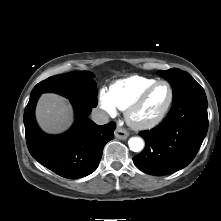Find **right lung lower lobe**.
<instances>
[{
	"label": "right lung lower lobe",
	"instance_id": "obj_1",
	"mask_svg": "<svg viewBox=\"0 0 221 221\" xmlns=\"http://www.w3.org/2000/svg\"><path fill=\"white\" fill-rule=\"evenodd\" d=\"M40 95L30 97L24 112L28 149L40 164L68 179L85 177L96 170L105 144L114 137L116 125H97L88 118L93 106L71 101L76 121L63 135L40 130L35 121V106Z\"/></svg>",
	"mask_w": 221,
	"mask_h": 221
}]
</instances>
